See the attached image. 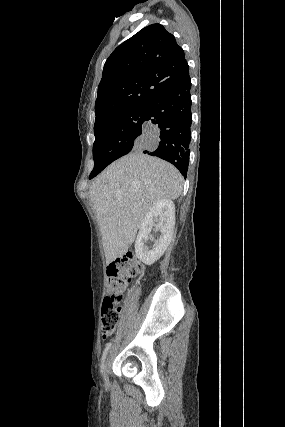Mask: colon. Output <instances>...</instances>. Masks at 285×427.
I'll return each instance as SVG.
<instances>
[{"label":"colon","instance_id":"1","mask_svg":"<svg viewBox=\"0 0 285 427\" xmlns=\"http://www.w3.org/2000/svg\"><path fill=\"white\" fill-rule=\"evenodd\" d=\"M142 271L141 264L133 257L119 258L108 267L107 293L102 306L101 333L104 338L110 336L119 323L123 294Z\"/></svg>","mask_w":285,"mask_h":427}]
</instances>
